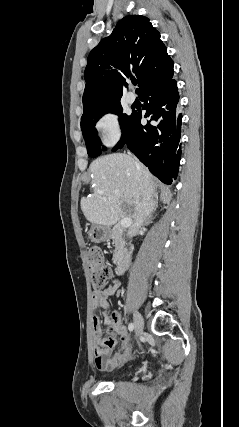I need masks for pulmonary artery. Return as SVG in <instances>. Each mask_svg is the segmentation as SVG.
<instances>
[{
	"label": "pulmonary artery",
	"instance_id": "1",
	"mask_svg": "<svg viewBox=\"0 0 239 427\" xmlns=\"http://www.w3.org/2000/svg\"><path fill=\"white\" fill-rule=\"evenodd\" d=\"M126 99H127L128 103L132 104L135 102L136 97L133 93L129 92L126 96Z\"/></svg>",
	"mask_w": 239,
	"mask_h": 427
}]
</instances>
